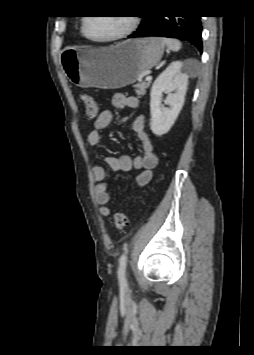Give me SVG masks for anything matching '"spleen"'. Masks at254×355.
I'll use <instances>...</instances> for the list:
<instances>
[{
  "instance_id": "1",
  "label": "spleen",
  "mask_w": 254,
  "mask_h": 355,
  "mask_svg": "<svg viewBox=\"0 0 254 355\" xmlns=\"http://www.w3.org/2000/svg\"><path fill=\"white\" fill-rule=\"evenodd\" d=\"M162 41L171 51H179L181 49V42L176 39L163 38Z\"/></svg>"
}]
</instances>
